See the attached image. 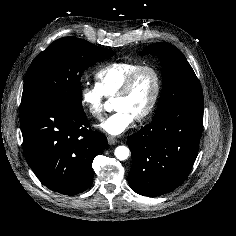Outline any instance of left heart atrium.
Here are the masks:
<instances>
[{
    "label": "left heart atrium",
    "instance_id": "1",
    "mask_svg": "<svg viewBox=\"0 0 236 236\" xmlns=\"http://www.w3.org/2000/svg\"><path fill=\"white\" fill-rule=\"evenodd\" d=\"M134 119L126 110L118 109L106 118L99 127L112 136H118L130 128Z\"/></svg>",
    "mask_w": 236,
    "mask_h": 236
}]
</instances>
